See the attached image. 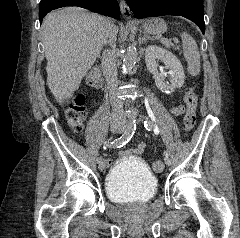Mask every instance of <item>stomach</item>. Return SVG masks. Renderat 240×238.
Instances as JSON below:
<instances>
[{
  "mask_svg": "<svg viewBox=\"0 0 240 238\" xmlns=\"http://www.w3.org/2000/svg\"><path fill=\"white\" fill-rule=\"evenodd\" d=\"M142 27L145 33L152 35H159L167 30V25L161 18L147 19L143 22Z\"/></svg>",
  "mask_w": 240,
  "mask_h": 238,
  "instance_id": "stomach-1",
  "label": "stomach"
}]
</instances>
